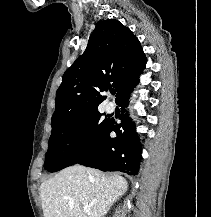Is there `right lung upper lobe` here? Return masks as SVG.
Listing matches in <instances>:
<instances>
[{
    "label": "right lung upper lobe",
    "mask_w": 211,
    "mask_h": 217,
    "mask_svg": "<svg viewBox=\"0 0 211 217\" xmlns=\"http://www.w3.org/2000/svg\"><path fill=\"white\" fill-rule=\"evenodd\" d=\"M137 37L118 20L99 21L85 52L63 75L56 92L52 128L98 110L100 92L114 87L117 98L145 68Z\"/></svg>",
    "instance_id": "obj_1"
}]
</instances>
